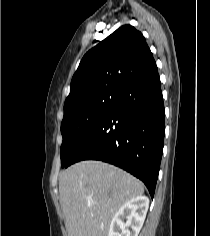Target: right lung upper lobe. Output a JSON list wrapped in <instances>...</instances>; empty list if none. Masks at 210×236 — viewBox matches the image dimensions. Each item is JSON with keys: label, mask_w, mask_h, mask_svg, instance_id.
Returning <instances> with one entry per match:
<instances>
[{"label": "right lung upper lobe", "mask_w": 210, "mask_h": 236, "mask_svg": "<svg viewBox=\"0 0 210 236\" xmlns=\"http://www.w3.org/2000/svg\"><path fill=\"white\" fill-rule=\"evenodd\" d=\"M156 68L142 33L124 25L84 55L72 78L64 112L92 96L121 92Z\"/></svg>", "instance_id": "right-lung-upper-lobe-1"}]
</instances>
